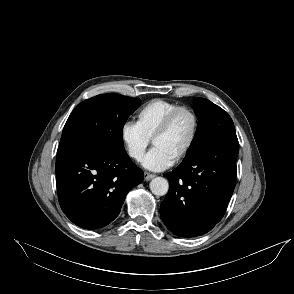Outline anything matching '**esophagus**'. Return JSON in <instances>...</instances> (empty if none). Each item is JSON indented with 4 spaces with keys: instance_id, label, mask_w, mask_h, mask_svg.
Here are the masks:
<instances>
[{
    "instance_id": "1",
    "label": "esophagus",
    "mask_w": 294,
    "mask_h": 294,
    "mask_svg": "<svg viewBox=\"0 0 294 294\" xmlns=\"http://www.w3.org/2000/svg\"><path fill=\"white\" fill-rule=\"evenodd\" d=\"M156 175L148 173V172H144V180L145 181H150L151 179H153Z\"/></svg>"
}]
</instances>
